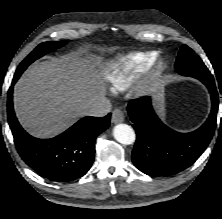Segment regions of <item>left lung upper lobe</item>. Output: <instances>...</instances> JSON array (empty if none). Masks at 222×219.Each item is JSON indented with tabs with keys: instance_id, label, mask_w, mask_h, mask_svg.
Returning <instances> with one entry per match:
<instances>
[{
	"instance_id": "left-lung-upper-lobe-1",
	"label": "left lung upper lobe",
	"mask_w": 222,
	"mask_h": 219,
	"mask_svg": "<svg viewBox=\"0 0 222 219\" xmlns=\"http://www.w3.org/2000/svg\"><path fill=\"white\" fill-rule=\"evenodd\" d=\"M175 68L181 75L190 76L197 79H213V76L202 60L191 48L186 45H182L180 49Z\"/></svg>"
}]
</instances>
